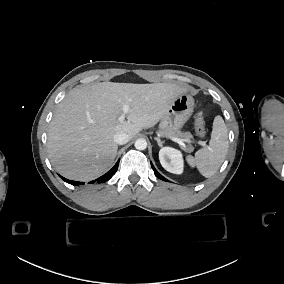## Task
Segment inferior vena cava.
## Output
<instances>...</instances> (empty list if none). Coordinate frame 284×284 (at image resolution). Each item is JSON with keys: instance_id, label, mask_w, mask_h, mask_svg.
<instances>
[{"instance_id": "602c4592", "label": "inferior vena cava", "mask_w": 284, "mask_h": 284, "mask_svg": "<svg viewBox=\"0 0 284 284\" xmlns=\"http://www.w3.org/2000/svg\"><path fill=\"white\" fill-rule=\"evenodd\" d=\"M114 141L117 144L123 145V144H126L129 141V136L126 133L118 132L114 135Z\"/></svg>"}]
</instances>
